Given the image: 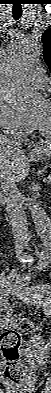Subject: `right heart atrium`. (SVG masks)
<instances>
[{
  "instance_id": "1",
  "label": "right heart atrium",
  "mask_w": 51,
  "mask_h": 393,
  "mask_svg": "<svg viewBox=\"0 0 51 393\" xmlns=\"http://www.w3.org/2000/svg\"><path fill=\"white\" fill-rule=\"evenodd\" d=\"M0 127L5 133L26 137L32 133L34 122L20 114L4 98H0Z\"/></svg>"
}]
</instances>
